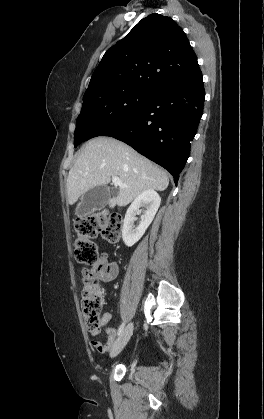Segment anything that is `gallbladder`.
Masks as SVG:
<instances>
[{"mask_svg": "<svg viewBox=\"0 0 264 419\" xmlns=\"http://www.w3.org/2000/svg\"><path fill=\"white\" fill-rule=\"evenodd\" d=\"M110 196V190L105 185L88 190L82 195L81 202L75 211L76 215L83 217L102 209L108 203Z\"/></svg>", "mask_w": 264, "mask_h": 419, "instance_id": "gallbladder-1", "label": "gallbladder"}]
</instances>
